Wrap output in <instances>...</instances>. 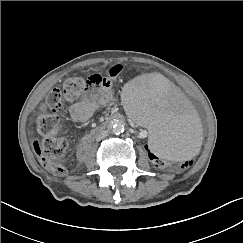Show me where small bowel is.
Here are the masks:
<instances>
[{"mask_svg":"<svg viewBox=\"0 0 243 243\" xmlns=\"http://www.w3.org/2000/svg\"><path fill=\"white\" fill-rule=\"evenodd\" d=\"M112 101L113 92L110 86H93L84 98L70 106L71 119L75 123L86 122L99 107L106 106Z\"/></svg>","mask_w":243,"mask_h":243,"instance_id":"obj_1","label":"small bowel"}]
</instances>
